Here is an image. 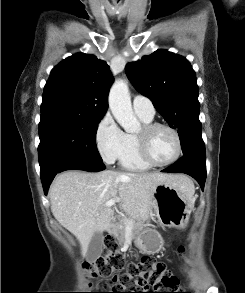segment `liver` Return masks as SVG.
<instances>
[{"mask_svg": "<svg viewBox=\"0 0 245 293\" xmlns=\"http://www.w3.org/2000/svg\"><path fill=\"white\" fill-rule=\"evenodd\" d=\"M163 183L176 185L190 197L193 194L190 180L183 175L106 170L64 172L55 178L48 196L53 216L78 239L84 257L92 235L113 227L116 207H106V202L118 199L120 209L129 216L152 217V192Z\"/></svg>", "mask_w": 245, "mask_h": 293, "instance_id": "1", "label": "liver"}]
</instances>
